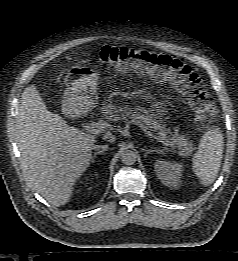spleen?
I'll use <instances>...</instances> for the list:
<instances>
[{
  "instance_id": "spleen-1",
  "label": "spleen",
  "mask_w": 238,
  "mask_h": 261,
  "mask_svg": "<svg viewBox=\"0 0 238 261\" xmlns=\"http://www.w3.org/2000/svg\"><path fill=\"white\" fill-rule=\"evenodd\" d=\"M224 137L219 127L209 128L201 137L192 168L203 186L212 184L220 170Z\"/></svg>"
}]
</instances>
